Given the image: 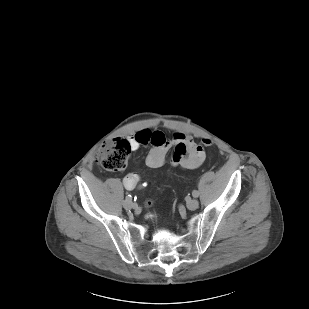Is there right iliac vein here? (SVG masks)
<instances>
[{
    "instance_id": "63e3f726",
    "label": "right iliac vein",
    "mask_w": 309,
    "mask_h": 309,
    "mask_svg": "<svg viewBox=\"0 0 309 309\" xmlns=\"http://www.w3.org/2000/svg\"><path fill=\"white\" fill-rule=\"evenodd\" d=\"M123 206L126 209L135 208L136 204L132 200H127V198L123 201Z\"/></svg>"
}]
</instances>
